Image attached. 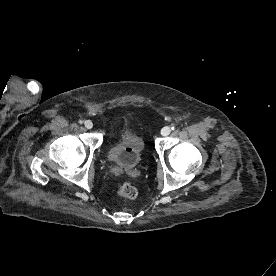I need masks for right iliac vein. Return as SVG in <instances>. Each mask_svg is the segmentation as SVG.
Instances as JSON below:
<instances>
[{
	"instance_id": "63e3f726",
	"label": "right iliac vein",
	"mask_w": 276,
	"mask_h": 276,
	"mask_svg": "<svg viewBox=\"0 0 276 276\" xmlns=\"http://www.w3.org/2000/svg\"><path fill=\"white\" fill-rule=\"evenodd\" d=\"M84 126L87 128V129H91L93 127V123L91 120H85L84 121Z\"/></svg>"
}]
</instances>
